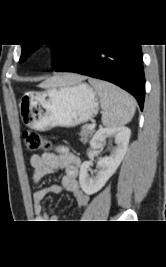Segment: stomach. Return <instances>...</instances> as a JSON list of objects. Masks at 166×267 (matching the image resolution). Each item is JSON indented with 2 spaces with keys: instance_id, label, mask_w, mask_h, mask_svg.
Listing matches in <instances>:
<instances>
[{
  "instance_id": "stomach-1",
  "label": "stomach",
  "mask_w": 166,
  "mask_h": 267,
  "mask_svg": "<svg viewBox=\"0 0 166 267\" xmlns=\"http://www.w3.org/2000/svg\"><path fill=\"white\" fill-rule=\"evenodd\" d=\"M98 111L96 91L83 82L29 92L20 101L23 123L38 131L74 127L93 119Z\"/></svg>"
}]
</instances>
